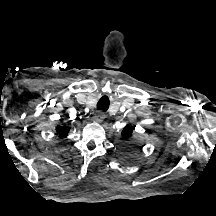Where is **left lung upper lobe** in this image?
Masks as SVG:
<instances>
[{
    "instance_id": "5c2ea615",
    "label": "left lung upper lobe",
    "mask_w": 216,
    "mask_h": 216,
    "mask_svg": "<svg viewBox=\"0 0 216 216\" xmlns=\"http://www.w3.org/2000/svg\"><path fill=\"white\" fill-rule=\"evenodd\" d=\"M134 128L131 127L130 125H127L121 132L122 138L124 140H129L132 137ZM135 144H128L126 147V153L124 154L127 158H131L134 153L139 149Z\"/></svg>"
}]
</instances>
